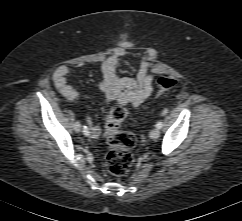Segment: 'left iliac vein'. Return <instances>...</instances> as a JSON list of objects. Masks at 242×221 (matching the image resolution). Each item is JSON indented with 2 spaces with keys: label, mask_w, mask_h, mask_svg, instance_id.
I'll use <instances>...</instances> for the list:
<instances>
[{
  "label": "left iliac vein",
  "mask_w": 242,
  "mask_h": 221,
  "mask_svg": "<svg viewBox=\"0 0 242 221\" xmlns=\"http://www.w3.org/2000/svg\"><path fill=\"white\" fill-rule=\"evenodd\" d=\"M160 136V130L158 128H153L151 131H150V137L152 139H157L158 137Z\"/></svg>",
  "instance_id": "4c4485c4"
}]
</instances>
